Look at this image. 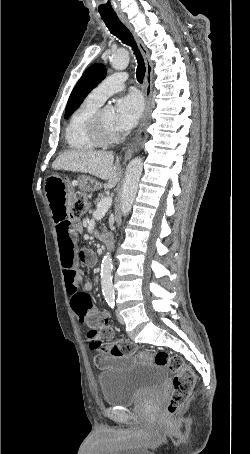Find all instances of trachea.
Listing matches in <instances>:
<instances>
[{"instance_id":"obj_1","label":"trachea","mask_w":250,"mask_h":454,"mask_svg":"<svg viewBox=\"0 0 250 454\" xmlns=\"http://www.w3.org/2000/svg\"><path fill=\"white\" fill-rule=\"evenodd\" d=\"M102 20L108 27L109 31L115 35L117 38H119L124 44L130 46L136 56L137 59V70H136V77L138 82L142 83L145 72H146V67H145V62L142 57V54L137 46V43L130 32V30L120 21V19L115 16H101Z\"/></svg>"}]
</instances>
